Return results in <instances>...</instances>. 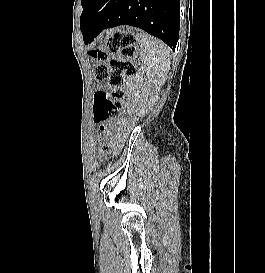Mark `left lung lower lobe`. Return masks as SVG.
Returning <instances> with one entry per match:
<instances>
[{
    "label": "left lung lower lobe",
    "instance_id": "left-lung-lower-lobe-1",
    "mask_svg": "<svg viewBox=\"0 0 265 273\" xmlns=\"http://www.w3.org/2000/svg\"><path fill=\"white\" fill-rule=\"evenodd\" d=\"M80 28L90 43L104 29L131 25L160 38L174 51L180 28L179 0H89Z\"/></svg>",
    "mask_w": 265,
    "mask_h": 273
}]
</instances>
